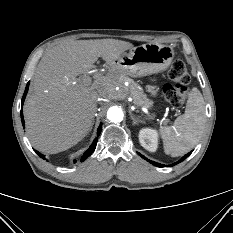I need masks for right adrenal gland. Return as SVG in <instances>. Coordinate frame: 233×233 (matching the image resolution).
I'll return each mask as SVG.
<instances>
[{
	"label": "right adrenal gland",
	"mask_w": 233,
	"mask_h": 233,
	"mask_svg": "<svg viewBox=\"0 0 233 233\" xmlns=\"http://www.w3.org/2000/svg\"><path fill=\"white\" fill-rule=\"evenodd\" d=\"M93 124H94V120H93L92 126H93ZM92 126H91V128H90V131H91V129H92Z\"/></svg>",
	"instance_id": "2a0ac1e0"
}]
</instances>
